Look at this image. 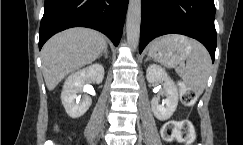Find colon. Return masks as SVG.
I'll return each instance as SVG.
<instances>
[{
	"label": "colon",
	"mask_w": 243,
	"mask_h": 145,
	"mask_svg": "<svg viewBox=\"0 0 243 145\" xmlns=\"http://www.w3.org/2000/svg\"><path fill=\"white\" fill-rule=\"evenodd\" d=\"M196 98L193 88L185 84L180 85V100L184 106L194 105ZM161 135L165 141L178 140L189 145L195 138V131L189 121H169L162 127Z\"/></svg>",
	"instance_id": "5ec220e1"
}]
</instances>
